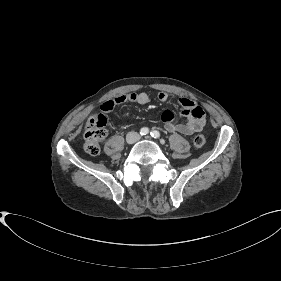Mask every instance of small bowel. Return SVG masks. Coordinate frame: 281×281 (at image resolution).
<instances>
[{"mask_svg":"<svg viewBox=\"0 0 281 281\" xmlns=\"http://www.w3.org/2000/svg\"><path fill=\"white\" fill-rule=\"evenodd\" d=\"M159 102H165L168 99L166 92L160 91L156 95ZM125 102H133L145 105L150 102V96L147 93L123 94L114 99L107 100L101 105V110L105 113L111 112L116 106ZM179 103L182 107L181 117L186 119L185 123H175V114L171 110H165L161 114V120L164 122L165 129L169 132H179L184 135H192L203 129L205 125V112L192 100L180 98Z\"/></svg>","mask_w":281,"mask_h":281,"instance_id":"c3829d8e","label":"small bowel"}]
</instances>
